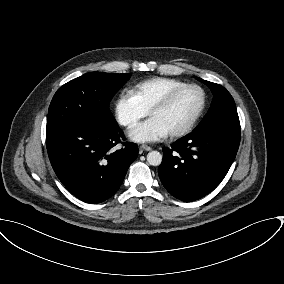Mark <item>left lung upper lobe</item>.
<instances>
[{"label": "left lung upper lobe", "mask_w": 284, "mask_h": 284, "mask_svg": "<svg viewBox=\"0 0 284 284\" xmlns=\"http://www.w3.org/2000/svg\"><path fill=\"white\" fill-rule=\"evenodd\" d=\"M208 85L214 94L212 105L197 128L219 122H239L235 102L230 93L221 85L195 77Z\"/></svg>", "instance_id": "obj_1"}]
</instances>
